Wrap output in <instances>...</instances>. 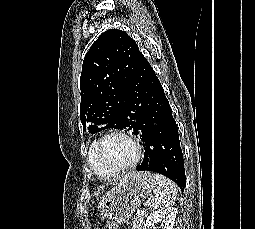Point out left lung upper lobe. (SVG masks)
Masks as SVG:
<instances>
[{
	"mask_svg": "<svg viewBox=\"0 0 255 229\" xmlns=\"http://www.w3.org/2000/svg\"><path fill=\"white\" fill-rule=\"evenodd\" d=\"M142 53L124 31L109 29L93 43L83 60L80 77V119L94 134L127 129L122 120L124 94Z\"/></svg>",
	"mask_w": 255,
	"mask_h": 229,
	"instance_id": "obj_1",
	"label": "left lung upper lobe"
}]
</instances>
